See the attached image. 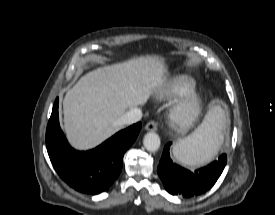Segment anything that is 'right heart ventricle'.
I'll return each instance as SVG.
<instances>
[{
    "instance_id": "1",
    "label": "right heart ventricle",
    "mask_w": 275,
    "mask_h": 215,
    "mask_svg": "<svg viewBox=\"0 0 275 215\" xmlns=\"http://www.w3.org/2000/svg\"><path fill=\"white\" fill-rule=\"evenodd\" d=\"M195 89L196 82L194 79L185 75L177 76L166 86L162 93V98L176 99L194 92Z\"/></svg>"
}]
</instances>
